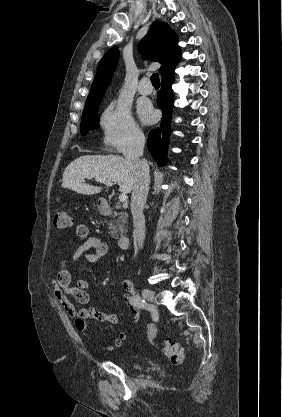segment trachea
Returning a JSON list of instances; mask_svg holds the SVG:
<instances>
[{
    "label": "trachea",
    "instance_id": "trachea-1",
    "mask_svg": "<svg viewBox=\"0 0 282 417\" xmlns=\"http://www.w3.org/2000/svg\"><path fill=\"white\" fill-rule=\"evenodd\" d=\"M153 87H160V79L158 73H153L150 77Z\"/></svg>",
    "mask_w": 282,
    "mask_h": 417
}]
</instances>
